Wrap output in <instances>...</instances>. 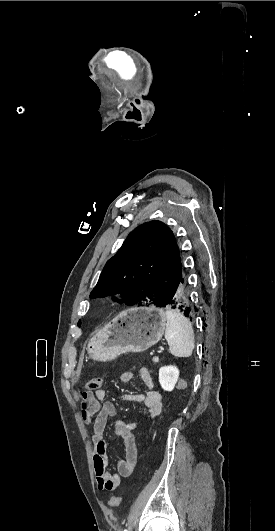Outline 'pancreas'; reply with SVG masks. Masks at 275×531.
I'll list each match as a JSON object with an SVG mask.
<instances>
[{
  "mask_svg": "<svg viewBox=\"0 0 275 531\" xmlns=\"http://www.w3.org/2000/svg\"><path fill=\"white\" fill-rule=\"evenodd\" d=\"M153 363H159V357H153Z\"/></svg>",
  "mask_w": 275,
  "mask_h": 531,
  "instance_id": "pancreas-1",
  "label": "pancreas"
}]
</instances>
